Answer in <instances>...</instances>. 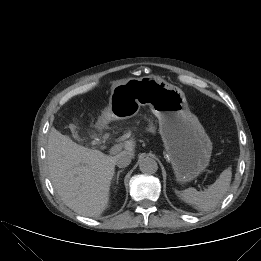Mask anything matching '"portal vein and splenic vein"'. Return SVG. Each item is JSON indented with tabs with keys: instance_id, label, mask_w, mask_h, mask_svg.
<instances>
[{
	"instance_id": "1",
	"label": "portal vein and splenic vein",
	"mask_w": 261,
	"mask_h": 261,
	"mask_svg": "<svg viewBox=\"0 0 261 261\" xmlns=\"http://www.w3.org/2000/svg\"><path fill=\"white\" fill-rule=\"evenodd\" d=\"M122 149L121 145H115L109 150L110 155L117 154Z\"/></svg>"
}]
</instances>
